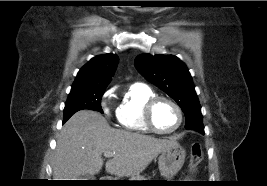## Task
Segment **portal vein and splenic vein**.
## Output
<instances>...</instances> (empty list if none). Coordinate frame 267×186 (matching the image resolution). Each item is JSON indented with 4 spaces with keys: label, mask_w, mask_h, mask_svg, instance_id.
Segmentation results:
<instances>
[{
    "label": "portal vein and splenic vein",
    "mask_w": 267,
    "mask_h": 186,
    "mask_svg": "<svg viewBox=\"0 0 267 186\" xmlns=\"http://www.w3.org/2000/svg\"><path fill=\"white\" fill-rule=\"evenodd\" d=\"M114 154H115L114 152H105L104 156L108 158V157H112Z\"/></svg>",
    "instance_id": "1"
}]
</instances>
